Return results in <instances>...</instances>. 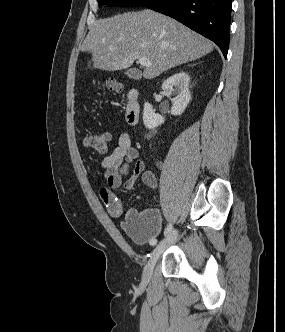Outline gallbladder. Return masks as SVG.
Wrapping results in <instances>:
<instances>
[{"label":"gallbladder","instance_id":"obj_1","mask_svg":"<svg viewBox=\"0 0 285 332\" xmlns=\"http://www.w3.org/2000/svg\"><path fill=\"white\" fill-rule=\"evenodd\" d=\"M125 74L129 78L134 79V80H139L141 78V76H142V73L138 69H135V68L127 70L125 72Z\"/></svg>","mask_w":285,"mask_h":332}]
</instances>
